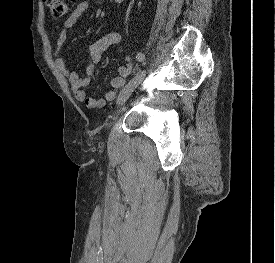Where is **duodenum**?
I'll return each instance as SVG.
<instances>
[{
    "mask_svg": "<svg viewBox=\"0 0 275 263\" xmlns=\"http://www.w3.org/2000/svg\"><path fill=\"white\" fill-rule=\"evenodd\" d=\"M116 3H122L124 0H114Z\"/></svg>",
    "mask_w": 275,
    "mask_h": 263,
    "instance_id": "410a0bca",
    "label": "duodenum"
}]
</instances>
